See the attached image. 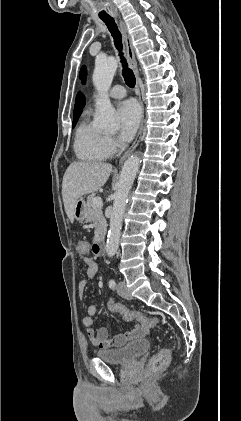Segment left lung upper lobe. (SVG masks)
Wrapping results in <instances>:
<instances>
[{
	"mask_svg": "<svg viewBox=\"0 0 241 421\" xmlns=\"http://www.w3.org/2000/svg\"><path fill=\"white\" fill-rule=\"evenodd\" d=\"M85 78H86V67H82L80 71V79L82 83L85 82Z\"/></svg>",
	"mask_w": 241,
	"mask_h": 421,
	"instance_id": "obj_1",
	"label": "left lung upper lobe"
}]
</instances>
